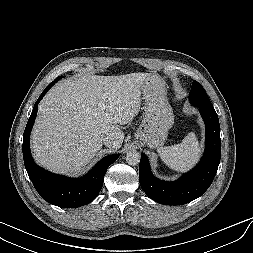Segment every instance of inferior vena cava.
I'll return each instance as SVG.
<instances>
[{
	"mask_svg": "<svg viewBox=\"0 0 253 253\" xmlns=\"http://www.w3.org/2000/svg\"><path fill=\"white\" fill-rule=\"evenodd\" d=\"M102 141H103V143H104L105 145H109V144H111V143L113 142V139H112L111 137H109V136H105V137L102 139Z\"/></svg>",
	"mask_w": 253,
	"mask_h": 253,
	"instance_id": "602c4592",
	"label": "inferior vena cava"
}]
</instances>
